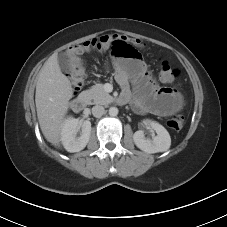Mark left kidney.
Listing matches in <instances>:
<instances>
[{"label":"left kidney","mask_w":227,"mask_h":227,"mask_svg":"<svg viewBox=\"0 0 227 227\" xmlns=\"http://www.w3.org/2000/svg\"><path fill=\"white\" fill-rule=\"evenodd\" d=\"M145 125H150L157 135L151 140L146 139L144 132L138 130L133 135L135 145L144 152L157 153L164 152L170 148L171 138L168 131L159 123L151 120H145Z\"/></svg>","instance_id":"obj_1"}]
</instances>
